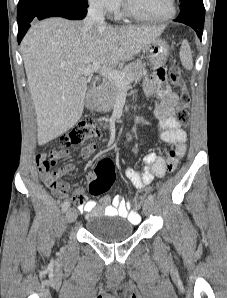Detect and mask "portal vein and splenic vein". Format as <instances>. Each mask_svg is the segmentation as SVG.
I'll use <instances>...</instances> for the list:
<instances>
[{
  "label": "portal vein and splenic vein",
  "instance_id": "1",
  "mask_svg": "<svg viewBox=\"0 0 227 298\" xmlns=\"http://www.w3.org/2000/svg\"><path fill=\"white\" fill-rule=\"evenodd\" d=\"M91 73H99L103 77L109 79L119 86H126L132 82V75L126 76L124 73L109 68L102 67L100 62H95L92 65H88L78 70L77 74L82 76H88Z\"/></svg>",
  "mask_w": 227,
  "mask_h": 298
}]
</instances>
